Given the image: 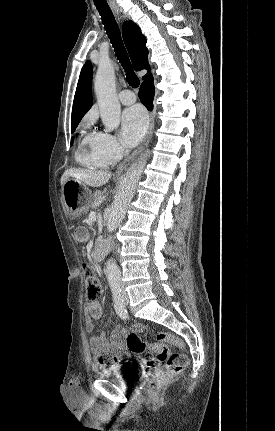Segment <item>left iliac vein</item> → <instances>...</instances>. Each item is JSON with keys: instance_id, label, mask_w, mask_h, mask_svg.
<instances>
[{"instance_id": "left-iliac-vein-1", "label": "left iliac vein", "mask_w": 275, "mask_h": 431, "mask_svg": "<svg viewBox=\"0 0 275 431\" xmlns=\"http://www.w3.org/2000/svg\"><path fill=\"white\" fill-rule=\"evenodd\" d=\"M122 299L126 305L129 303V297L125 291L122 292Z\"/></svg>"}]
</instances>
